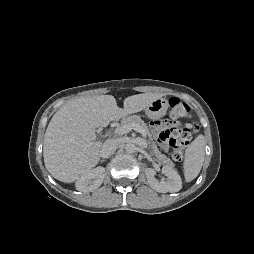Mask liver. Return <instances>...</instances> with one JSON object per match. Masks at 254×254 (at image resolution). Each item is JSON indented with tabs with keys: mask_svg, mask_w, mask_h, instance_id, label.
Returning a JSON list of instances; mask_svg holds the SVG:
<instances>
[{
	"mask_svg": "<svg viewBox=\"0 0 254 254\" xmlns=\"http://www.w3.org/2000/svg\"><path fill=\"white\" fill-rule=\"evenodd\" d=\"M161 97L159 93L132 95L125 98L123 109L112 95L69 101L53 115L46 129L43 146L46 169L65 183L79 179L100 160L102 143L96 141V129L140 112Z\"/></svg>",
	"mask_w": 254,
	"mask_h": 254,
	"instance_id": "obj_1",
	"label": "liver"
}]
</instances>
